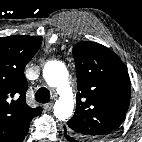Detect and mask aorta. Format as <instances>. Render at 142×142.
I'll list each match as a JSON object with an SVG mask.
<instances>
[{"label": "aorta", "mask_w": 142, "mask_h": 142, "mask_svg": "<svg viewBox=\"0 0 142 142\" xmlns=\"http://www.w3.org/2000/svg\"><path fill=\"white\" fill-rule=\"evenodd\" d=\"M43 77L48 86L55 89L59 95L53 108L55 117L60 121L67 120L72 115L74 101L65 65L57 60L48 61L43 70Z\"/></svg>", "instance_id": "aorta-1"}]
</instances>
